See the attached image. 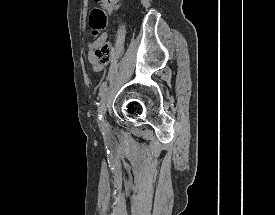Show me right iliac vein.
Returning a JSON list of instances; mask_svg holds the SVG:
<instances>
[{"label": "right iliac vein", "mask_w": 275, "mask_h": 215, "mask_svg": "<svg viewBox=\"0 0 275 215\" xmlns=\"http://www.w3.org/2000/svg\"><path fill=\"white\" fill-rule=\"evenodd\" d=\"M108 97H109V92L106 91L105 95L101 99L100 105H99V111L101 114L105 115L106 109H107V103H108Z\"/></svg>", "instance_id": "1"}]
</instances>
